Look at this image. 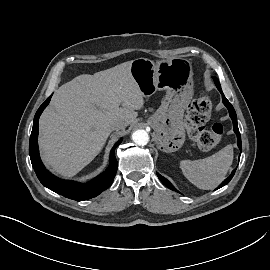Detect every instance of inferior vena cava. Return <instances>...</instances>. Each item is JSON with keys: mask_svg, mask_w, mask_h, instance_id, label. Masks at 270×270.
I'll return each mask as SVG.
<instances>
[{"mask_svg": "<svg viewBox=\"0 0 270 270\" xmlns=\"http://www.w3.org/2000/svg\"><path fill=\"white\" fill-rule=\"evenodd\" d=\"M127 126V123L125 121H115L112 123L111 128L112 130H119L123 129Z\"/></svg>", "mask_w": 270, "mask_h": 270, "instance_id": "1", "label": "inferior vena cava"}]
</instances>
